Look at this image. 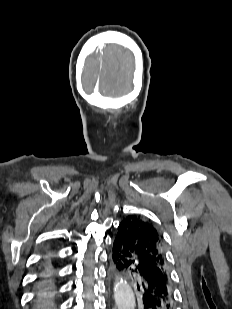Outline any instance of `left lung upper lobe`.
Segmentation results:
<instances>
[{
    "label": "left lung upper lobe",
    "instance_id": "5c2ea615",
    "mask_svg": "<svg viewBox=\"0 0 232 309\" xmlns=\"http://www.w3.org/2000/svg\"><path fill=\"white\" fill-rule=\"evenodd\" d=\"M121 224L127 227L138 256L160 267L168 274L163 238L157 228L140 215H129L122 220Z\"/></svg>",
    "mask_w": 232,
    "mask_h": 309
}]
</instances>
